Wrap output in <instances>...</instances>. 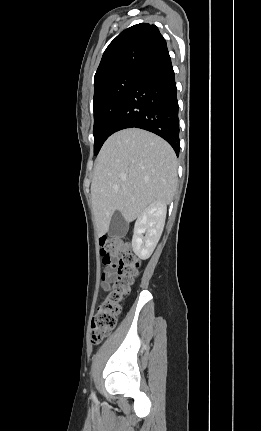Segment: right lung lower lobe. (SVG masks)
Listing matches in <instances>:
<instances>
[{"label": "right lung lower lobe", "instance_id": "98d812e1", "mask_svg": "<svg viewBox=\"0 0 261 431\" xmlns=\"http://www.w3.org/2000/svg\"><path fill=\"white\" fill-rule=\"evenodd\" d=\"M168 50L145 65L132 84L115 118L111 134L141 128L165 139L179 155L178 101Z\"/></svg>", "mask_w": 261, "mask_h": 431}]
</instances>
